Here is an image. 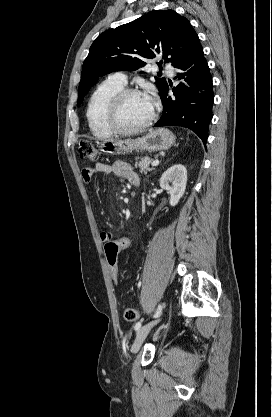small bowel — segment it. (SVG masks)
I'll list each match as a JSON object with an SVG mask.
<instances>
[{
	"instance_id": "small-bowel-1",
	"label": "small bowel",
	"mask_w": 272,
	"mask_h": 417,
	"mask_svg": "<svg viewBox=\"0 0 272 417\" xmlns=\"http://www.w3.org/2000/svg\"><path fill=\"white\" fill-rule=\"evenodd\" d=\"M114 174L118 177L128 180L129 182L138 183V176L134 168L127 162L116 161L113 164H104L97 163L92 167H87L82 170V178L84 182L88 183L91 181L92 177L96 174ZM114 238L113 234L110 232L102 231L100 233V239L102 242L106 243L108 240Z\"/></svg>"
}]
</instances>
